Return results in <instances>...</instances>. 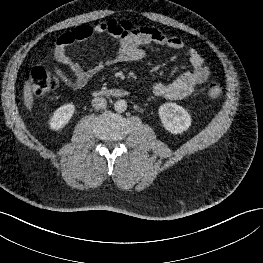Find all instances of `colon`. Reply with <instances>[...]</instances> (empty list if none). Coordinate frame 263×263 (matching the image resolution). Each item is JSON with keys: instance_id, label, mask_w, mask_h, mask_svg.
Returning <instances> with one entry per match:
<instances>
[{"instance_id": "obj_1", "label": "colon", "mask_w": 263, "mask_h": 263, "mask_svg": "<svg viewBox=\"0 0 263 263\" xmlns=\"http://www.w3.org/2000/svg\"><path fill=\"white\" fill-rule=\"evenodd\" d=\"M58 86V79L50 71L43 67H34L30 74V88L35 95H45L52 92ZM223 87L218 83H212L208 87V96L215 100L222 96Z\"/></svg>"}]
</instances>
